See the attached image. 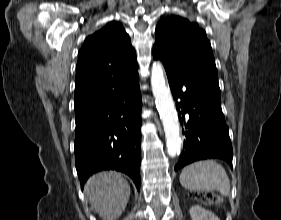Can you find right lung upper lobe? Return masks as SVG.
Instances as JSON below:
<instances>
[{
    "instance_id": "cb5924a9",
    "label": "right lung upper lobe",
    "mask_w": 281,
    "mask_h": 220,
    "mask_svg": "<svg viewBox=\"0 0 281 220\" xmlns=\"http://www.w3.org/2000/svg\"><path fill=\"white\" fill-rule=\"evenodd\" d=\"M138 76L136 53L129 35L110 22L86 38L78 54L74 107L119 92Z\"/></svg>"
}]
</instances>
